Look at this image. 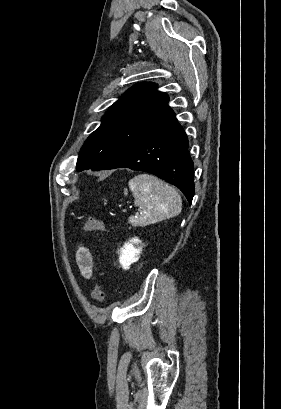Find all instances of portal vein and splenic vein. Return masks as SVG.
Here are the masks:
<instances>
[{"label": "portal vein and splenic vein", "instance_id": "18ae733b", "mask_svg": "<svg viewBox=\"0 0 281 409\" xmlns=\"http://www.w3.org/2000/svg\"><path fill=\"white\" fill-rule=\"evenodd\" d=\"M121 213L127 214L128 210L127 209L121 210ZM139 213H143V210H139Z\"/></svg>", "mask_w": 281, "mask_h": 409}]
</instances>
